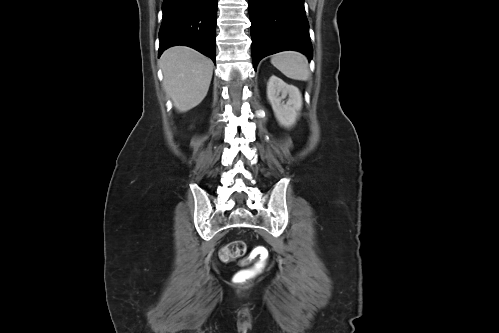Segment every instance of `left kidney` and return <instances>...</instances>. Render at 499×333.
I'll use <instances>...</instances> for the list:
<instances>
[{
	"mask_svg": "<svg viewBox=\"0 0 499 333\" xmlns=\"http://www.w3.org/2000/svg\"><path fill=\"white\" fill-rule=\"evenodd\" d=\"M287 96L288 99L285 102ZM267 97L280 125L286 128L292 127L296 123L298 111L302 107V96L299 89L273 75L267 84Z\"/></svg>",
	"mask_w": 499,
	"mask_h": 333,
	"instance_id": "1",
	"label": "left kidney"
}]
</instances>
